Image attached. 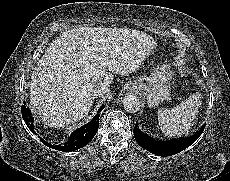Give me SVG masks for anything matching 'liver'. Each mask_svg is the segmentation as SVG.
I'll return each mask as SVG.
<instances>
[{
    "label": "liver",
    "instance_id": "obj_1",
    "mask_svg": "<svg viewBox=\"0 0 230 181\" xmlns=\"http://www.w3.org/2000/svg\"><path fill=\"white\" fill-rule=\"evenodd\" d=\"M154 47L155 41L139 31L68 30L37 62L31 76L30 104L45 124L71 125L91 109L94 85L110 86L113 74L135 72Z\"/></svg>",
    "mask_w": 230,
    "mask_h": 181
}]
</instances>
